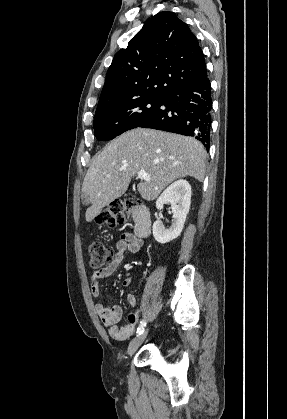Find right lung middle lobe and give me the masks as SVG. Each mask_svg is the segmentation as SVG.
Segmentation results:
<instances>
[{
	"label": "right lung middle lobe",
	"mask_w": 287,
	"mask_h": 419,
	"mask_svg": "<svg viewBox=\"0 0 287 419\" xmlns=\"http://www.w3.org/2000/svg\"><path fill=\"white\" fill-rule=\"evenodd\" d=\"M161 99V96L141 97L97 111L93 123L95 136L108 141L138 127L156 111Z\"/></svg>",
	"instance_id": "right-lung-middle-lobe-1"
}]
</instances>
